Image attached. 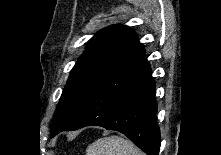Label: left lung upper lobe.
Wrapping results in <instances>:
<instances>
[{
	"mask_svg": "<svg viewBox=\"0 0 221 155\" xmlns=\"http://www.w3.org/2000/svg\"><path fill=\"white\" fill-rule=\"evenodd\" d=\"M142 49L135 32L125 26L113 25L97 33L71 71L56 108L52 136L75 119L112 72Z\"/></svg>",
	"mask_w": 221,
	"mask_h": 155,
	"instance_id": "5c2ea615",
	"label": "left lung upper lobe"
}]
</instances>
